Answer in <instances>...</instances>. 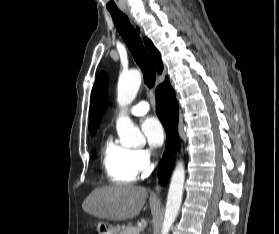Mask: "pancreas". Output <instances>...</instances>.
<instances>
[{"mask_svg":"<svg viewBox=\"0 0 279 234\" xmlns=\"http://www.w3.org/2000/svg\"><path fill=\"white\" fill-rule=\"evenodd\" d=\"M119 234H139V230L135 226L128 225L127 227L123 228Z\"/></svg>","mask_w":279,"mask_h":234,"instance_id":"cf45deb5","label":"pancreas"}]
</instances>
